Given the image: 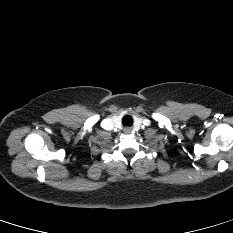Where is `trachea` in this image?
Masks as SVG:
<instances>
[{"mask_svg": "<svg viewBox=\"0 0 233 233\" xmlns=\"http://www.w3.org/2000/svg\"><path fill=\"white\" fill-rule=\"evenodd\" d=\"M122 123L124 126H131L133 123V119L130 115H126L123 117Z\"/></svg>", "mask_w": 233, "mask_h": 233, "instance_id": "1", "label": "trachea"}]
</instances>
